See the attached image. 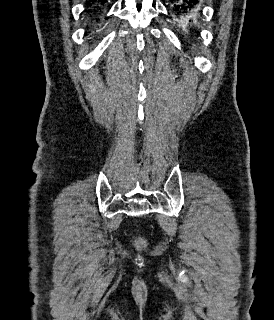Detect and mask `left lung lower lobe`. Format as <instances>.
<instances>
[{
    "mask_svg": "<svg viewBox=\"0 0 274 320\" xmlns=\"http://www.w3.org/2000/svg\"><path fill=\"white\" fill-rule=\"evenodd\" d=\"M172 9L177 16L182 18L194 17L198 10V0H171Z\"/></svg>",
    "mask_w": 274,
    "mask_h": 320,
    "instance_id": "obj_1",
    "label": "left lung lower lobe"
}]
</instances>
